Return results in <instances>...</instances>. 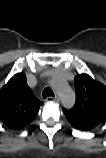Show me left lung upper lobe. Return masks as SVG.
Returning a JSON list of instances; mask_svg holds the SVG:
<instances>
[{"instance_id":"left-lung-upper-lobe-1","label":"left lung upper lobe","mask_w":106,"mask_h":158,"mask_svg":"<svg viewBox=\"0 0 106 158\" xmlns=\"http://www.w3.org/2000/svg\"><path fill=\"white\" fill-rule=\"evenodd\" d=\"M74 84L75 105L63 112L74 128L88 131L106 121V86L87 74H78Z\"/></svg>"}]
</instances>
